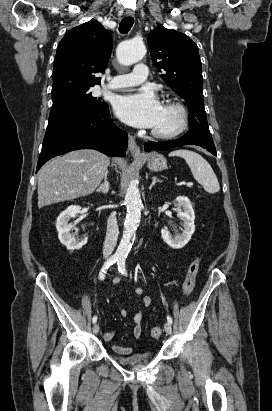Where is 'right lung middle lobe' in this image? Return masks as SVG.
Wrapping results in <instances>:
<instances>
[{"instance_id": "obj_1", "label": "right lung middle lobe", "mask_w": 272, "mask_h": 411, "mask_svg": "<svg viewBox=\"0 0 272 411\" xmlns=\"http://www.w3.org/2000/svg\"><path fill=\"white\" fill-rule=\"evenodd\" d=\"M105 106V102H101L99 99L92 96L91 88H84L70 92L62 98L53 100V106L48 122L55 121L74 113L98 111Z\"/></svg>"}]
</instances>
